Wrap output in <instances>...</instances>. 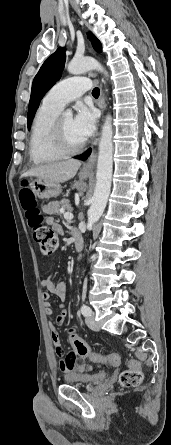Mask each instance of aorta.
I'll list each match as a JSON object with an SVG mask.
<instances>
[{
	"instance_id": "762f6f07",
	"label": "aorta",
	"mask_w": 171,
	"mask_h": 445,
	"mask_svg": "<svg viewBox=\"0 0 171 445\" xmlns=\"http://www.w3.org/2000/svg\"><path fill=\"white\" fill-rule=\"evenodd\" d=\"M68 72L74 75L82 74L90 70H97L108 76L104 67L94 58L84 57L73 59L68 64ZM66 116H71L72 112L67 110ZM113 129L111 115L106 116L102 126L101 138L99 142V152L97 161L96 186L92 197L91 206L88 210V225L92 226L102 216L111 190L113 172Z\"/></svg>"
}]
</instances>
